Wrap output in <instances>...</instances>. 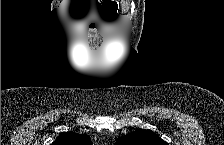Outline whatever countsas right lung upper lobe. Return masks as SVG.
Listing matches in <instances>:
<instances>
[{"label": "right lung upper lobe", "instance_id": "obj_1", "mask_svg": "<svg viewBox=\"0 0 224 145\" xmlns=\"http://www.w3.org/2000/svg\"><path fill=\"white\" fill-rule=\"evenodd\" d=\"M91 140L86 135L74 132H64L52 143V145H90Z\"/></svg>", "mask_w": 224, "mask_h": 145}]
</instances>
